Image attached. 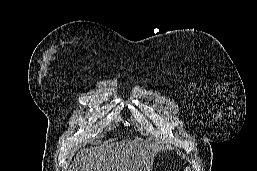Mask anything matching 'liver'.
Segmentation results:
<instances>
[{
  "instance_id": "obj_1",
  "label": "liver",
  "mask_w": 257,
  "mask_h": 171,
  "mask_svg": "<svg viewBox=\"0 0 257 171\" xmlns=\"http://www.w3.org/2000/svg\"><path fill=\"white\" fill-rule=\"evenodd\" d=\"M158 150L142 139L106 142L78 152L69 171H152Z\"/></svg>"
}]
</instances>
